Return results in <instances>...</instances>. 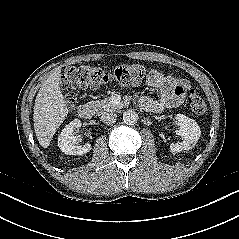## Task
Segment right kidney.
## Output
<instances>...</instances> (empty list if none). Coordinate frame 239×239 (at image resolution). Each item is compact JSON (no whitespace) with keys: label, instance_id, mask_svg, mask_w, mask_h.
Here are the masks:
<instances>
[{"label":"right kidney","instance_id":"right-kidney-1","mask_svg":"<svg viewBox=\"0 0 239 239\" xmlns=\"http://www.w3.org/2000/svg\"><path fill=\"white\" fill-rule=\"evenodd\" d=\"M81 121L74 119L62 130L58 137V147L67 155H83L91 150V144L76 145L77 137L73 135V131L81 127Z\"/></svg>","mask_w":239,"mask_h":239}]
</instances>
